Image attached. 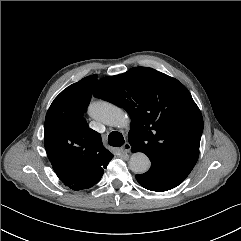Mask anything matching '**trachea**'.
Instances as JSON below:
<instances>
[{
    "label": "trachea",
    "mask_w": 241,
    "mask_h": 241,
    "mask_svg": "<svg viewBox=\"0 0 241 241\" xmlns=\"http://www.w3.org/2000/svg\"><path fill=\"white\" fill-rule=\"evenodd\" d=\"M125 143L124 137L121 133L113 131L108 136V144L114 147H120Z\"/></svg>",
    "instance_id": "1"
}]
</instances>
